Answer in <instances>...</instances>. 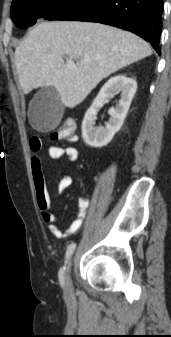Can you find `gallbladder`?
Listing matches in <instances>:
<instances>
[{"label": "gallbladder", "mask_w": 171, "mask_h": 337, "mask_svg": "<svg viewBox=\"0 0 171 337\" xmlns=\"http://www.w3.org/2000/svg\"><path fill=\"white\" fill-rule=\"evenodd\" d=\"M64 106L54 87H44L36 93L29 105L30 124L37 130L48 131L55 128L63 115Z\"/></svg>", "instance_id": "1"}]
</instances>
